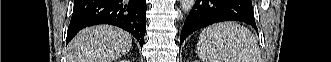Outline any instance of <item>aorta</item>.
<instances>
[{
    "label": "aorta",
    "instance_id": "obj_1",
    "mask_svg": "<svg viewBox=\"0 0 331 62\" xmlns=\"http://www.w3.org/2000/svg\"><path fill=\"white\" fill-rule=\"evenodd\" d=\"M183 12L189 13L195 4V0H180Z\"/></svg>",
    "mask_w": 331,
    "mask_h": 62
}]
</instances>
